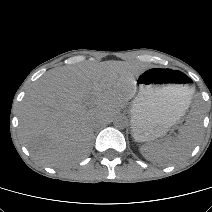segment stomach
Listing matches in <instances>:
<instances>
[{
	"label": "stomach",
	"mask_w": 212,
	"mask_h": 212,
	"mask_svg": "<svg viewBox=\"0 0 212 212\" xmlns=\"http://www.w3.org/2000/svg\"><path fill=\"white\" fill-rule=\"evenodd\" d=\"M190 81L180 71L158 67L147 68L139 74L130 111L136 141L162 137L181 119L194 94Z\"/></svg>",
	"instance_id": "0dacf381"
}]
</instances>
